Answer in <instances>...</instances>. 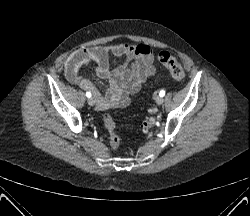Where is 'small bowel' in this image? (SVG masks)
<instances>
[{
  "label": "small bowel",
  "mask_w": 250,
  "mask_h": 216,
  "mask_svg": "<svg viewBox=\"0 0 250 216\" xmlns=\"http://www.w3.org/2000/svg\"><path fill=\"white\" fill-rule=\"evenodd\" d=\"M111 56L123 58L124 63L111 68ZM92 62L96 64V74L108 81L104 93L80 74L81 68ZM155 71L154 54L152 48L146 44L84 48L74 52L65 63L66 79L83 90L91 91L100 110L127 105L130 95L136 93Z\"/></svg>",
  "instance_id": "small-bowel-1"
}]
</instances>
